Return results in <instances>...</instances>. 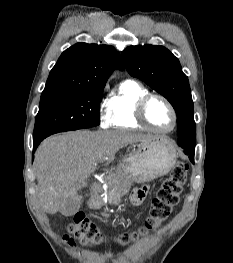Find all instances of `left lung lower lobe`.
<instances>
[{"label": "left lung lower lobe", "instance_id": "1", "mask_svg": "<svg viewBox=\"0 0 233 263\" xmlns=\"http://www.w3.org/2000/svg\"><path fill=\"white\" fill-rule=\"evenodd\" d=\"M178 145L183 148L185 154L190 156V160L194 162V148L195 146H192L185 142H178Z\"/></svg>", "mask_w": 233, "mask_h": 263}]
</instances>
